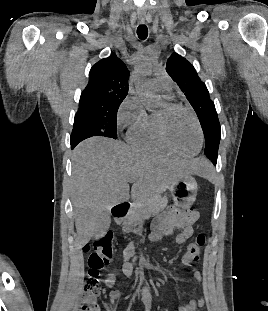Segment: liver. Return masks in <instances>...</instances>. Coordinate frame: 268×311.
Segmentation results:
<instances>
[{"mask_svg":"<svg viewBox=\"0 0 268 311\" xmlns=\"http://www.w3.org/2000/svg\"><path fill=\"white\" fill-rule=\"evenodd\" d=\"M72 203L77 243L87 244L100 220L115 205L130 198L139 201L161 196L172 182L186 174L201 175L209 169L203 159L177 160L140 153L121 141L92 137L73 151Z\"/></svg>","mask_w":268,"mask_h":311,"instance_id":"obj_1","label":"liver"}]
</instances>
